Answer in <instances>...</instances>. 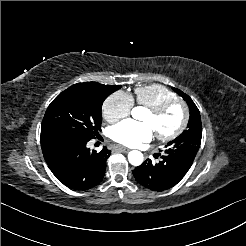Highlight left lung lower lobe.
<instances>
[{"label":"left lung lower lobe","instance_id":"left-lung-lower-lobe-1","mask_svg":"<svg viewBox=\"0 0 246 246\" xmlns=\"http://www.w3.org/2000/svg\"><path fill=\"white\" fill-rule=\"evenodd\" d=\"M162 160L152 164L150 159L133 170L138 183L153 191H164L180 182L192 163L173 154H163Z\"/></svg>","mask_w":246,"mask_h":246}]
</instances>
